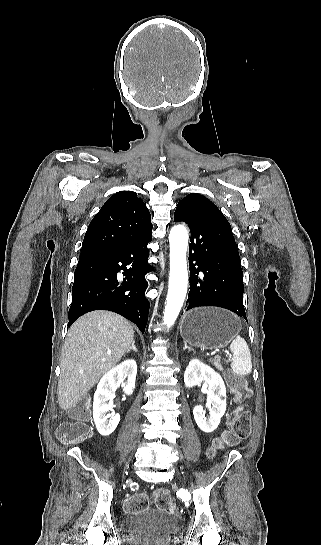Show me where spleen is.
Listing matches in <instances>:
<instances>
[{"label":"spleen","instance_id":"3e777b00","mask_svg":"<svg viewBox=\"0 0 321 545\" xmlns=\"http://www.w3.org/2000/svg\"><path fill=\"white\" fill-rule=\"evenodd\" d=\"M230 351L233 353L231 369L234 375H239V377L250 375L252 371L251 353L246 341L240 335L232 341Z\"/></svg>","mask_w":321,"mask_h":545}]
</instances>
